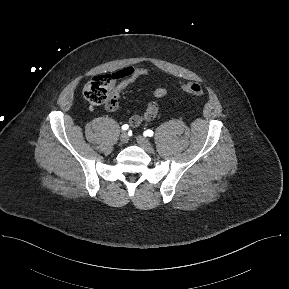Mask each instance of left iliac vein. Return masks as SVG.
Returning <instances> with one entry per match:
<instances>
[{"instance_id": "4c4485c4", "label": "left iliac vein", "mask_w": 289, "mask_h": 289, "mask_svg": "<svg viewBox=\"0 0 289 289\" xmlns=\"http://www.w3.org/2000/svg\"><path fill=\"white\" fill-rule=\"evenodd\" d=\"M137 143L146 152H148V153L153 152L152 144L144 136H141V135L137 136Z\"/></svg>"}]
</instances>
